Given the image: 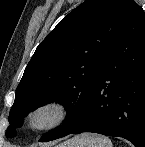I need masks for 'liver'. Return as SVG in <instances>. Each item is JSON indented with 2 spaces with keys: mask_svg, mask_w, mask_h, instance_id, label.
Wrapping results in <instances>:
<instances>
[{
  "mask_svg": "<svg viewBox=\"0 0 145 147\" xmlns=\"http://www.w3.org/2000/svg\"><path fill=\"white\" fill-rule=\"evenodd\" d=\"M69 142H70V141H67V142L61 144L59 147H67V145L69 144Z\"/></svg>",
  "mask_w": 145,
  "mask_h": 147,
  "instance_id": "6515ba94",
  "label": "liver"
}]
</instances>
